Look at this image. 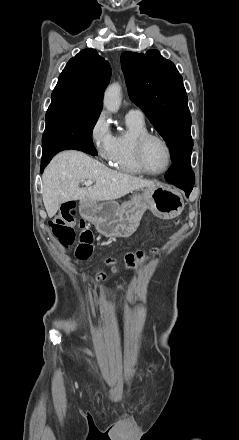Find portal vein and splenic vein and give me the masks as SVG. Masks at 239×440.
<instances>
[{
	"mask_svg": "<svg viewBox=\"0 0 239 440\" xmlns=\"http://www.w3.org/2000/svg\"><path fill=\"white\" fill-rule=\"evenodd\" d=\"M92 184V180H86V182H84V186H92Z\"/></svg>",
	"mask_w": 239,
	"mask_h": 440,
	"instance_id": "1",
	"label": "portal vein and splenic vein"
}]
</instances>
